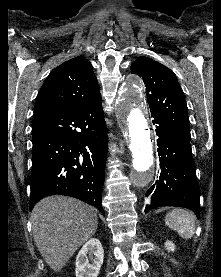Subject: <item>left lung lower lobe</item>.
I'll use <instances>...</instances> for the list:
<instances>
[{
  "label": "left lung lower lobe",
  "instance_id": "0a47b994",
  "mask_svg": "<svg viewBox=\"0 0 221 277\" xmlns=\"http://www.w3.org/2000/svg\"><path fill=\"white\" fill-rule=\"evenodd\" d=\"M160 161L159 180L147 191L145 212L158 206H179L200 215V191L190 142L179 137L160 119L153 117Z\"/></svg>",
  "mask_w": 221,
  "mask_h": 277
}]
</instances>
